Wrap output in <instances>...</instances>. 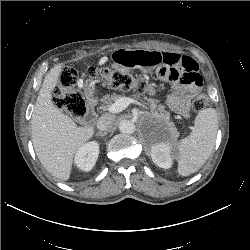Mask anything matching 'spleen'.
Returning a JSON list of instances; mask_svg holds the SVG:
<instances>
[{"label": "spleen", "instance_id": "1", "mask_svg": "<svg viewBox=\"0 0 250 250\" xmlns=\"http://www.w3.org/2000/svg\"><path fill=\"white\" fill-rule=\"evenodd\" d=\"M217 130L216 110H201L195 118L191 134L179 142L176 155L179 175L189 176L205 164L213 151Z\"/></svg>", "mask_w": 250, "mask_h": 250}]
</instances>
